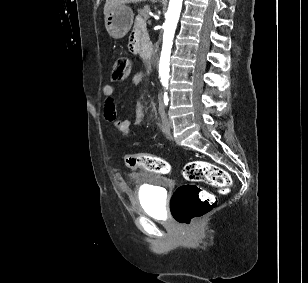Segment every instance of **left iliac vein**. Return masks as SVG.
Listing matches in <instances>:
<instances>
[{
  "instance_id": "4c4485c4",
  "label": "left iliac vein",
  "mask_w": 308,
  "mask_h": 283,
  "mask_svg": "<svg viewBox=\"0 0 308 283\" xmlns=\"http://www.w3.org/2000/svg\"><path fill=\"white\" fill-rule=\"evenodd\" d=\"M172 128V122L170 119H168L167 117H165L164 121H163V131L166 134H169Z\"/></svg>"
}]
</instances>
